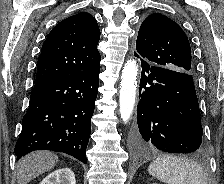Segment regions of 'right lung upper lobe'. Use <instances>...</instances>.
I'll list each match as a JSON object with an SVG mask.
<instances>
[{
  "mask_svg": "<svg viewBox=\"0 0 224 184\" xmlns=\"http://www.w3.org/2000/svg\"><path fill=\"white\" fill-rule=\"evenodd\" d=\"M96 19L83 12L58 23L42 45L36 83L87 72L100 66Z\"/></svg>",
  "mask_w": 224,
  "mask_h": 184,
  "instance_id": "cb5924a9",
  "label": "right lung upper lobe"
}]
</instances>
